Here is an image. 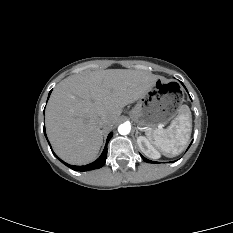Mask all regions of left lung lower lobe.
Here are the masks:
<instances>
[{"instance_id": "left-lung-lower-lobe-1", "label": "left lung lower lobe", "mask_w": 233, "mask_h": 233, "mask_svg": "<svg viewBox=\"0 0 233 233\" xmlns=\"http://www.w3.org/2000/svg\"><path fill=\"white\" fill-rule=\"evenodd\" d=\"M142 157V159L145 161V162H148V163H154L153 161H151V160H148V159H146L145 157H143V156H141ZM157 163V162H156Z\"/></svg>"}]
</instances>
